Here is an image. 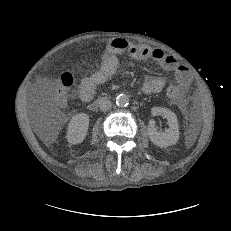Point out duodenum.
Listing matches in <instances>:
<instances>
[{
  "instance_id": "obj_1",
  "label": "duodenum",
  "mask_w": 231,
  "mask_h": 231,
  "mask_svg": "<svg viewBox=\"0 0 231 231\" xmlns=\"http://www.w3.org/2000/svg\"><path fill=\"white\" fill-rule=\"evenodd\" d=\"M99 101H97L95 104H93V107H97Z\"/></svg>"
}]
</instances>
